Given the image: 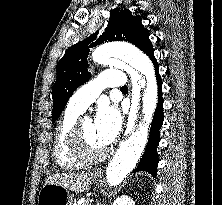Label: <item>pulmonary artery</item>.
<instances>
[{
    "instance_id": "1",
    "label": "pulmonary artery",
    "mask_w": 222,
    "mask_h": 205,
    "mask_svg": "<svg viewBox=\"0 0 222 205\" xmlns=\"http://www.w3.org/2000/svg\"><path fill=\"white\" fill-rule=\"evenodd\" d=\"M126 84L124 73L117 69H106L100 77L80 87L70 98L68 108L83 112L105 87L122 88Z\"/></svg>"
}]
</instances>
